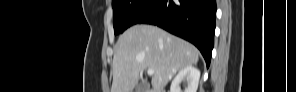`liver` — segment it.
<instances>
[{
    "label": "liver",
    "mask_w": 296,
    "mask_h": 92,
    "mask_svg": "<svg viewBox=\"0 0 296 92\" xmlns=\"http://www.w3.org/2000/svg\"><path fill=\"white\" fill-rule=\"evenodd\" d=\"M200 52L187 41L152 25H134L120 35L113 58L111 92H131L139 74L153 69L154 92L164 87L177 71L197 64Z\"/></svg>",
    "instance_id": "1"
}]
</instances>
